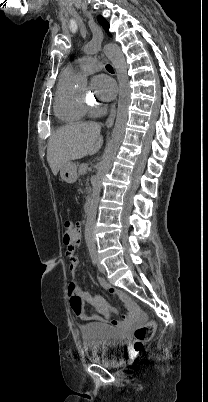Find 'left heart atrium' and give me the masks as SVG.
<instances>
[{
	"label": "left heart atrium",
	"instance_id": "obj_1",
	"mask_svg": "<svg viewBox=\"0 0 208 402\" xmlns=\"http://www.w3.org/2000/svg\"><path fill=\"white\" fill-rule=\"evenodd\" d=\"M95 83L99 89V99L109 101L116 95V84L109 76L100 74L95 77Z\"/></svg>",
	"mask_w": 208,
	"mask_h": 402
}]
</instances>
